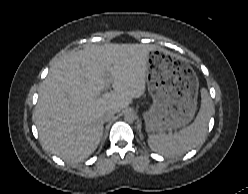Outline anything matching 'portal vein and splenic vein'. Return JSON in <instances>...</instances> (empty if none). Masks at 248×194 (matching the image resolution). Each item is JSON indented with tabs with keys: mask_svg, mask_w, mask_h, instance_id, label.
Listing matches in <instances>:
<instances>
[{
	"mask_svg": "<svg viewBox=\"0 0 248 194\" xmlns=\"http://www.w3.org/2000/svg\"><path fill=\"white\" fill-rule=\"evenodd\" d=\"M109 87V84H107L106 86H105V89H107Z\"/></svg>",
	"mask_w": 248,
	"mask_h": 194,
	"instance_id": "obj_1",
	"label": "portal vein and splenic vein"
}]
</instances>
